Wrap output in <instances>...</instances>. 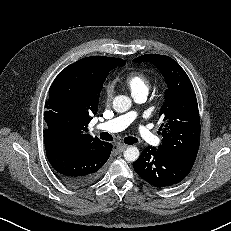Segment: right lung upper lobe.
Returning a JSON list of instances; mask_svg holds the SVG:
<instances>
[{
  "instance_id": "right-lung-upper-lobe-1",
  "label": "right lung upper lobe",
  "mask_w": 231,
  "mask_h": 231,
  "mask_svg": "<svg viewBox=\"0 0 231 231\" xmlns=\"http://www.w3.org/2000/svg\"><path fill=\"white\" fill-rule=\"evenodd\" d=\"M116 60L118 58L91 56L72 64L79 68L86 80L93 85L94 95L84 104L59 106L45 112L44 139L50 138L75 151H89L102 147L104 142L87 134V126L92 116L97 113L103 83L111 71L110 67Z\"/></svg>"
}]
</instances>
